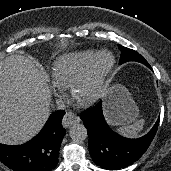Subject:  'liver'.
I'll list each match as a JSON object with an SVG mask.
<instances>
[{
    "instance_id": "obj_1",
    "label": "liver",
    "mask_w": 171,
    "mask_h": 171,
    "mask_svg": "<svg viewBox=\"0 0 171 171\" xmlns=\"http://www.w3.org/2000/svg\"><path fill=\"white\" fill-rule=\"evenodd\" d=\"M51 92L45 73L23 55L0 62V143L23 144L50 115Z\"/></svg>"
}]
</instances>
